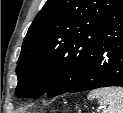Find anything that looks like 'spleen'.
I'll use <instances>...</instances> for the list:
<instances>
[{"label": "spleen", "mask_w": 123, "mask_h": 113, "mask_svg": "<svg viewBox=\"0 0 123 113\" xmlns=\"http://www.w3.org/2000/svg\"><path fill=\"white\" fill-rule=\"evenodd\" d=\"M88 99H97L101 105L108 106V113H123V88L106 87L90 92Z\"/></svg>", "instance_id": "1"}]
</instances>
